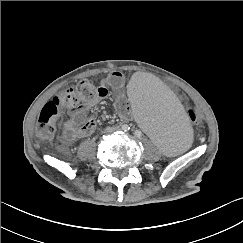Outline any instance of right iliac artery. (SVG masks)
I'll return each instance as SVG.
<instances>
[{"mask_svg":"<svg viewBox=\"0 0 243 243\" xmlns=\"http://www.w3.org/2000/svg\"><path fill=\"white\" fill-rule=\"evenodd\" d=\"M129 129H130V127L128 125L122 126V130L125 131V132L128 131Z\"/></svg>","mask_w":243,"mask_h":243,"instance_id":"right-iliac-artery-1","label":"right iliac artery"}]
</instances>
